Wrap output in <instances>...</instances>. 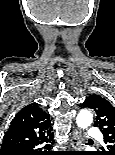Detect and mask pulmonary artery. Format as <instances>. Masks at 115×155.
<instances>
[{
	"label": "pulmonary artery",
	"mask_w": 115,
	"mask_h": 155,
	"mask_svg": "<svg viewBox=\"0 0 115 155\" xmlns=\"http://www.w3.org/2000/svg\"><path fill=\"white\" fill-rule=\"evenodd\" d=\"M88 136L91 138H100L101 133L97 129H90L88 132Z\"/></svg>",
	"instance_id": "e3ab8cb5"
}]
</instances>
